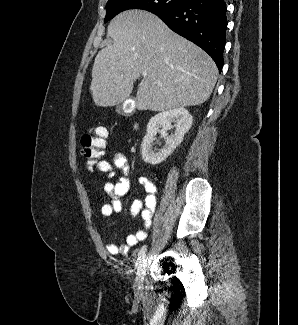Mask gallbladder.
Listing matches in <instances>:
<instances>
[{"label": "gallbladder", "instance_id": "obj_1", "mask_svg": "<svg viewBox=\"0 0 298 325\" xmlns=\"http://www.w3.org/2000/svg\"><path fill=\"white\" fill-rule=\"evenodd\" d=\"M115 110L116 112H118V114H126L124 110V102H120V104H116Z\"/></svg>", "mask_w": 298, "mask_h": 325}]
</instances>
